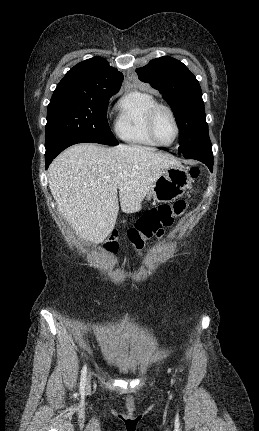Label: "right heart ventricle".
Listing matches in <instances>:
<instances>
[{"label": "right heart ventricle", "mask_w": 259, "mask_h": 431, "mask_svg": "<svg viewBox=\"0 0 259 431\" xmlns=\"http://www.w3.org/2000/svg\"><path fill=\"white\" fill-rule=\"evenodd\" d=\"M157 103L148 92L133 90L125 93L117 103L115 132L126 143L143 147H156L147 129V113Z\"/></svg>", "instance_id": "1"}]
</instances>
